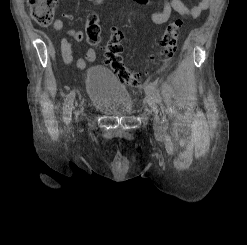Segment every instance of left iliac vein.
I'll return each mask as SVG.
<instances>
[{
    "label": "left iliac vein",
    "mask_w": 247,
    "mask_h": 245,
    "mask_svg": "<svg viewBox=\"0 0 247 245\" xmlns=\"http://www.w3.org/2000/svg\"><path fill=\"white\" fill-rule=\"evenodd\" d=\"M148 101V104H149V107L154 115V119H153V127L156 131H161L162 129V124H161V121H160V117H159V114H158V109H157V106L154 102V100L151 98V97H148L147 99Z\"/></svg>",
    "instance_id": "obj_1"
}]
</instances>
